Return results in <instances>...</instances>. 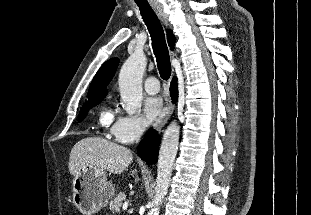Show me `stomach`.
Instances as JSON below:
<instances>
[{
  "label": "stomach",
  "mask_w": 311,
  "mask_h": 215,
  "mask_svg": "<svg viewBox=\"0 0 311 215\" xmlns=\"http://www.w3.org/2000/svg\"><path fill=\"white\" fill-rule=\"evenodd\" d=\"M115 188L107 181L104 170L80 168L73 180V202L85 215H92L105 207Z\"/></svg>",
  "instance_id": "obj_1"
}]
</instances>
